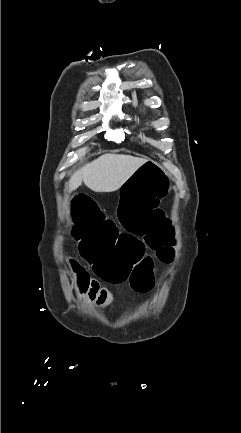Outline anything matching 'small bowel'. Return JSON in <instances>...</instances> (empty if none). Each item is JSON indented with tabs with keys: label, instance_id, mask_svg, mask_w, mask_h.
<instances>
[{
	"label": "small bowel",
	"instance_id": "obj_1",
	"mask_svg": "<svg viewBox=\"0 0 241 433\" xmlns=\"http://www.w3.org/2000/svg\"><path fill=\"white\" fill-rule=\"evenodd\" d=\"M166 227L171 228V231H173L171 226ZM88 281L90 284L89 288L86 292H82L86 294L88 302L102 309L109 308L114 303L116 298L114 291L105 286H102L100 282L95 278L88 277Z\"/></svg>",
	"mask_w": 241,
	"mask_h": 433
}]
</instances>
